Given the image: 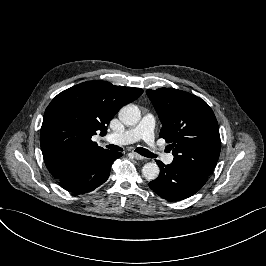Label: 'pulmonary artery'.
Returning a JSON list of instances; mask_svg holds the SVG:
<instances>
[{
    "label": "pulmonary artery",
    "instance_id": "pulmonary-artery-1",
    "mask_svg": "<svg viewBox=\"0 0 266 266\" xmlns=\"http://www.w3.org/2000/svg\"><path fill=\"white\" fill-rule=\"evenodd\" d=\"M154 128L153 114L144 112L141 122L136 126L125 130L124 132H112L107 135V140L113 143H132L143 140L148 148H153L154 152L161 159H166L165 162L170 164L173 160V155L167 157L160 146V142L150 131Z\"/></svg>",
    "mask_w": 266,
    "mask_h": 266
}]
</instances>
